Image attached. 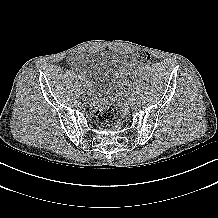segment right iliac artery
I'll return each instance as SVG.
<instances>
[{"label":"right iliac artery","instance_id":"obj_1","mask_svg":"<svg viewBox=\"0 0 218 218\" xmlns=\"http://www.w3.org/2000/svg\"><path fill=\"white\" fill-rule=\"evenodd\" d=\"M79 83L80 84H82L83 86H84V88H86L87 87V84L86 83H84V80L82 79V77L81 76H79Z\"/></svg>","mask_w":218,"mask_h":218}]
</instances>
